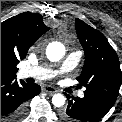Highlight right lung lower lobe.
I'll use <instances>...</instances> for the list:
<instances>
[{
  "label": "right lung lower lobe",
  "instance_id": "right-lung-lower-lobe-1",
  "mask_svg": "<svg viewBox=\"0 0 122 122\" xmlns=\"http://www.w3.org/2000/svg\"><path fill=\"white\" fill-rule=\"evenodd\" d=\"M39 85H28L15 77H1V122H20L27 109V101L38 95Z\"/></svg>",
  "mask_w": 122,
  "mask_h": 122
}]
</instances>
